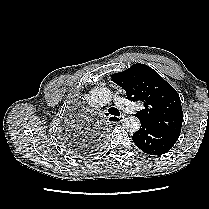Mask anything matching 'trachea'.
<instances>
[{
    "instance_id": "1",
    "label": "trachea",
    "mask_w": 209,
    "mask_h": 209,
    "mask_svg": "<svg viewBox=\"0 0 209 209\" xmlns=\"http://www.w3.org/2000/svg\"><path fill=\"white\" fill-rule=\"evenodd\" d=\"M109 114L114 116H120L119 110L115 107H111L108 109V113H106V116H108Z\"/></svg>"
}]
</instances>
